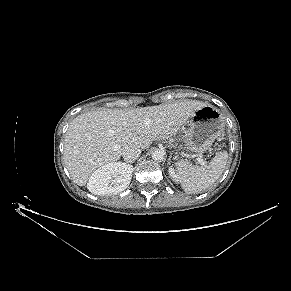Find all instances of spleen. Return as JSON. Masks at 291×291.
Returning <instances> with one entry per match:
<instances>
[{"label":"spleen","mask_w":291,"mask_h":291,"mask_svg":"<svg viewBox=\"0 0 291 291\" xmlns=\"http://www.w3.org/2000/svg\"><path fill=\"white\" fill-rule=\"evenodd\" d=\"M228 160V153H216L206 167L192 165L187 160L176 163L178 178L183 190L188 194H197L212 186L222 175Z\"/></svg>","instance_id":"spleen-1"}]
</instances>
